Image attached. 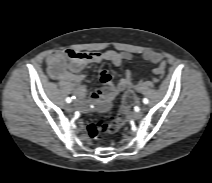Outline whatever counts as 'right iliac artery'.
<instances>
[{
    "label": "right iliac artery",
    "instance_id": "1",
    "mask_svg": "<svg viewBox=\"0 0 212 183\" xmlns=\"http://www.w3.org/2000/svg\"><path fill=\"white\" fill-rule=\"evenodd\" d=\"M71 101H72V100H71L70 97H67V98H66V102H67V103H70Z\"/></svg>",
    "mask_w": 212,
    "mask_h": 183
}]
</instances>
